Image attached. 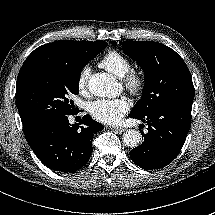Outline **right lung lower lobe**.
I'll use <instances>...</instances> for the list:
<instances>
[{"mask_svg": "<svg viewBox=\"0 0 215 215\" xmlns=\"http://www.w3.org/2000/svg\"><path fill=\"white\" fill-rule=\"evenodd\" d=\"M80 124L71 125L67 115L53 117L31 127L24 134L44 165L54 171L73 173L88 162L93 135L104 128L87 115Z\"/></svg>", "mask_w": 215, "mask_h": 215, "instance_id": "right-lung-lower-lobe-1", "label": "right lung lower lobe"}]
</instances>
